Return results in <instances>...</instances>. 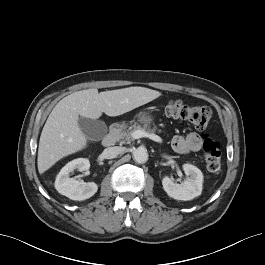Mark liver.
<instances>
[{
	"label": "liver",
	"mask_w": 265,
	"mask_h": 265,
	"mask_svg": "<svg viewBox=\"0 0 265 265\" xmlns=\"http://www.w3.org/2000/svg\"><path fill=\"white\" fill-rule=\"evenodd\" d=\"M159 91L128 87L98 93L96 88L74 92L60 100L50 113L40 136L38 171L40 174L62 158L83 150L87 139L79 127V116L98 119L102 113L118 116L153 101Z\"/></svg>",
	"instance_id": "obj_1"
}]
</instances>
